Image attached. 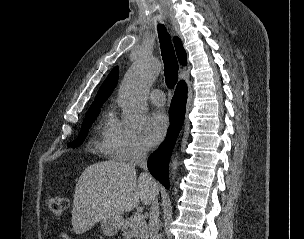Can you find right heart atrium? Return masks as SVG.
<instances>
[{"mask_svg":"<svg viewBox=\"0 0 304 239\" xmlns=\"http://www.w3.org/2000/svg\"><path fill=\"white\" fill-rule=\"evenodd\" d=\"M104 147L112 156L120 160H129L148 152V146L141 133L118 120H113Z\"/></svg>","mask_w":304,"mask_h":239,"instance_id":"d8ad5b80","label":"right heart atrium"}]
</instances>
